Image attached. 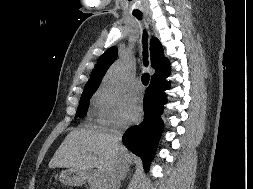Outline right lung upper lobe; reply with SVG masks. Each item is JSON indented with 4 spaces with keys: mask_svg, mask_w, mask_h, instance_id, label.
<instances>
[{
    "mask_svg": "<svg viewBox=\"0 0 253 189\" xmlns=\"http://www.w3.org/2000/svg\"><path fill=\"white\" fill-rule=\"evenodd\" d=\"M151 66L155 69L153 78L165 76L170 73L169 61L164 57L163 47L157 38H152L150 44ZM117 58V47H110L98 60L93 69L89 81L86 83L84 91L97 90L110 65Z\"/></svg>",
    "mask_w": 253,
    "mask_h": 189,
    "instance_id": "1",
    "label": "right lung upper lobe"
}]
</instances>
